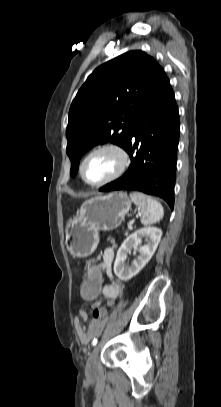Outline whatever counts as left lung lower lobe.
I'll return each instance as SVG.
<instances>
[{"instance_id": "0a47b994", "label": "left lung lower lobe", "mask_w": 221, "mask_h": 407, "mask_svg": "<svg viewBox=\"0 0 221 407\" xmlns=\"http://www.w3.org/2000/svg\"><path fill=\"white\" fill-rule=\"evenodd\" d=\"M179 134L178 107L165 76L131 129L125 147L131 158L128 171L99 191H141L164 199L173 210Z\"/></svg>"}]
</instances>
